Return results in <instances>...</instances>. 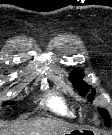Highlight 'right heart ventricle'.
Returning a JSON list of instances; mask_svg holds the SVG:
<instances>
[{
	"instance_id": "right-heart-ventricle-1",
	"label": "right heart ventricle",
	"mask_w": 112,
	"mask_h": 135,
	"mask_svg": "<svg viewBox=\"0 0 112 135\" xmlns=\"http://www.w3.org/2000/svg\"><path fill=\"white\" fill-rule=\"evenodd\" d=\"M42 106L51 113L69 120L81 116L80 109L57 92L48 93L42 100Z\"/></svg>"
}]
</instances>
